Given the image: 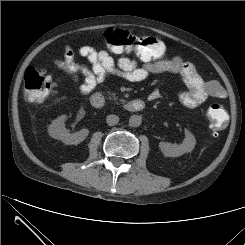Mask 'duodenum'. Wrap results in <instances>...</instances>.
Wrapping results in <instances>:
<instances>
[{"label": "duodenum", "instance_id": "1", "mask_svg": "<svg viewBox=\"0 0 245 245\" xmlns=\"http://www.w3.org/2000/svg\"><path fill=\"white\" fill-rule=\"evenodd\" d=\"M89 103L92 107L101 109L106 106V100L100 93H93L89 97ZM120 107L128 112H140L145 108V102L140 99L132 100L120 105Z\"/></svg>", "mask_w": 245, "mask_h": 245}]
</instances>
